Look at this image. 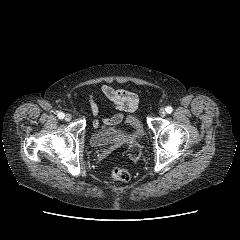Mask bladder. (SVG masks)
I'll return each instance as SVG.
<instances>
[{
    "mask_svg": "<svg viewBox=\"0 0 240 240\" xmlns=\"http://www.w3.org/2000/svg\"><path fill=\"white\" fill-rule=\"evenodd\" d=\"M144 129L140 119L129 114L125 117L122 126H111L107 129H98L90 135V144L94 148L118 146L126 142H139L143 137Z\"/></svg>",
    "mask_w": 240,
    "mask_h": 240,
    "instance_id": "31cf9c89",
    "label": "bladder"
}]
</instances>
